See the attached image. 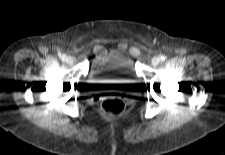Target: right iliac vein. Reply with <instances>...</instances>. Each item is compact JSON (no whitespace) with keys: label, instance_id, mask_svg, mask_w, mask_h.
I'll return each mask as SVG.
<instances>
[{"label":"right iliac vein","instance_id":"63e3f726","mask_svg":"<svg viewBox=\"0 0 225 155\" xmlns=\"http://www.w3.org/2000/svg\"><path fill=\"white\" fill-rule=\"evenodd\" d=\"M65 61L68 65H72L74 63V58L72 56H67Z\"/></svg>","mask_w":225,"mask_h":155}]
</instances>
